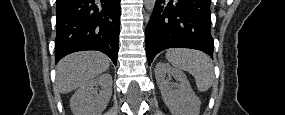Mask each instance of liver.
<instances>
[{
  "label": "liver",
  "instance_id": "6515ba94",
  "mask_svg": "<svg viewBox=\"0 0 285 115\" xmlns=\"http://www.w3.org/2000/svg\"><path fill=\"white\" fill-rule=\"evenodd\" d=\"M110 65L109 58L95 51L66 56L56 66V83L60 93L66 94L93 80Z\"/></svg>",
  "mask_w": 285,
  "mask_h": 115
}]
</instances>
